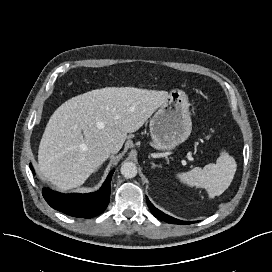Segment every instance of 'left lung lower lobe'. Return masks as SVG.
Listing matches in <instances>:
<instances>
[{"mask_svg":"<svg viewBox=\"0 0 272 272\" xmlns=\"http://www.w3.org/2000/svg\"><path fill=\"white\" fill-rule=\"evenodd\" d=\"M146 201H147L148 207L151 210V212L153 213V215L156 218H158V219H160L162 221H165V222H168V223H173V224H191V223H195V222H190V221H181V220H178L176 218H173V217L161 212L156 207H154V205L149 201V199L147 197H146Z\"/></svg>","mask_w":272,"mask_h":272,"instance_id":"obj_1","label":"left lung lower lobe"}]
</instances>
